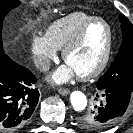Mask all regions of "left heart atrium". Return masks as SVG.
Instances as JSON below:
<instances>
[{
    "label": "left heart atrium",
    "instance_id": "obj_1",
    "mask_svg": "<svg viewBox=\"0 0 133 133\" xmlns=\"http://www.w3.org/2000/svg\"><path fill=\"white\" fill-rule=\"evenodd\" d=\"M76 75L74 70L66 63L56 69L50 76L49 80L53 84H63Z\"/></svg>",
    "mask_w": 133,
    "mask_h": 133
}]
</instances>
